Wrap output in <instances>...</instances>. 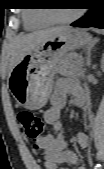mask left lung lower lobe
<instances>
[{
  "label": "left lung lower lobe",
  "instance_id": "1",
  "mask_svg": "<svg viewBox=\"0 0 104 169\" xmlns=\"http://www.w3.org/2000/svg\"><path fill=\"white\" fill-rule=\"evenodd\" d=\"M71 26L104 28V10L94 4L83 18L72 23Z\"/></svg>",
  "mask_w": 104,
  "mask_h": 169
}]
</instances>
